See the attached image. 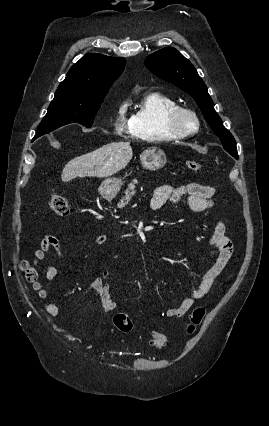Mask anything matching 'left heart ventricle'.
Here are the masks:
<instances>
[{"mask_svg": "<svg viewBox=\"0 0 269 426\" xmlns=\"http://www.w3.org/2000/svg\"><path fill=\"white\" fill-rule=\"evenodd\" d=\"M183 122H184L185 125H187L189 127L193 126V121L190 118H187V117L184 118Z\"/></svg>", "mask_w": 269, "mask_h": 426, "instance_id": "b2bd125f", "label": "left heart ventricle"}]
</instances>
